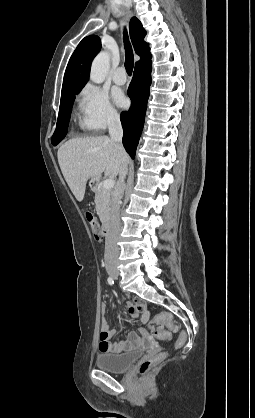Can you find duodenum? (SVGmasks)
I'll list each match as a JSON object with an SVG mask.
<instances>
[{
	"label": "duodenum",
	"instance_id": "obj_1",
	"mask_svg": "<svg viewBox=\"0 0 255 418\" xmlns=\"http://www.w3.org/2000/svg\"><path fill=\"white\" fill-rule=\"evenodd\" d=\"M98 186V182L94 181L92 184L93 188H96ZM109 233V221L108 219H104L101 223V228H100V234L102 236H106Z\"/></svg>",
	"mask_w": 255,
	"mask_h": 418
}]
</instances>
